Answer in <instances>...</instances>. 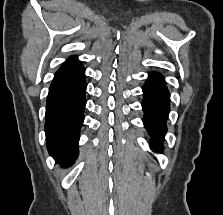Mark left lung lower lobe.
Listing matches in <instances>:
<instances>
[{
    "instance_id": "left-lung-lower-lobe-1",
    "label": "left lung lower lobe",
    "mask_w": 223,
    "mask_h": 215,
    "mask_svg": "<svg viewBox=\"0 0 223 215\" xmlns=\"http://www.w3.org/2000/svg\"><path fill=\"white\" fill-rule=\"evenodd\" d=\"M144 99L143 123L152 136L151 147L158 152L162 150L161 141L166 133V119L169 114L170 94L161 74L150 72L142 88Z\"/></svg>"
}]
</instances>
